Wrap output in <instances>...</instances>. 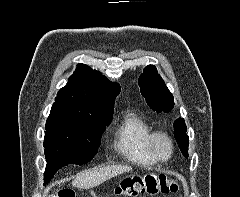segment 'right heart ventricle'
<instances>
[{
  "mask_svg": "<svg viewBox=\"0 0 240 197\" xmlns=\"http://www.w3.org/2000/svg\"><path fill=\"white\" fill-rule=\"evenodd\" d=\"M152 129L138 114L123 115L114 132L113 147L126 160L141 166H154L157 161L148 149V138Z\"/></svg>",
  "mask_w": 240,
  "mask_h": 197,
  "instance_id": "right-heart-ventricle-1",
  "label": "right heart ventricle"
}]
</instances>
